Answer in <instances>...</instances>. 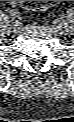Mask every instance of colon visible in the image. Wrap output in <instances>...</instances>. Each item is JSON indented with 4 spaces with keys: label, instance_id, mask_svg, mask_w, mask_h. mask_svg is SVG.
Returning a JSON list of instances; mask_svg holds the SVG:
<instances>
[{
    "label": "colon",
    "instance_id": "1",
    "mask_svg": "<svg viewBox=\"0 0 74 122\" xmlns=\"http://www.w3.org/2000/svg\"><path fill=\"white\" fill-rule=\"evenodd\" d=\"M53 1H20L21 5L27 9L33 10H44L46 9Z\"/></svg>",
    "mask_w": 74,
    "mask_h": 122
}]
</instances>
